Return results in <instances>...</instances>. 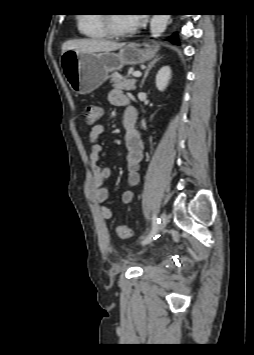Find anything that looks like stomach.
Segmentation results:
<instances>
[{
  "mask_svg": "<svg viewBox=\"0 0 254 355\" xmlns=\"http://www.w3.org/2000/svg\"><path fill=\"white\" fill-rule=\"evenodd\" d=\"M158 48H141L129 43L119 53H84L67 50L60 62L65 78L71 89L78 94H89L102 85L111 71L120 70L124 65H135L151 60Z\"/></svg>",
  "mask_w": 254,
  "mask_h": 355,
  "instance_id": "obj_1",
  "label": "stomach"
}]
</instances>
